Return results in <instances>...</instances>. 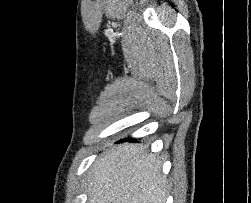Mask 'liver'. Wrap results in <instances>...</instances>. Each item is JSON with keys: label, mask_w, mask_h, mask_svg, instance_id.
<instances>
[{"label": "liver", "mask_w": 251, "mask_h": 203, "mask_svg": "<svg viewBox=\"0 0 251 203\" xmlns=\"http://www.w3.org/2000/svg\"><path fill=\"white\" fill-rule=\"evenodd\" d=\"M161 163L147 147L124 143L111 147L93 164L88 203H165Z\"/></svg>", "instance_id": "obj_1"}]
</instances>
